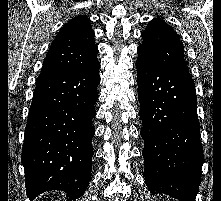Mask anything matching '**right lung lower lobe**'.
<instances>
[{"instance_id":"obj_1","label":"right lung lower lobe","mask_w":221,"mask_h":201,"mask_svg":"<svg viewBox=\"0 0 221 201\" xmlns=\"http://www.w3.org/2000/svg\"><path fill=\"white\" fill-rule=\"evenodd\" d=\"M99 68L100 64L77 72L41 71L38 76L22 150L30 200L61 190L74 201L88 187Z\"/></svg>"}]
</instances>
